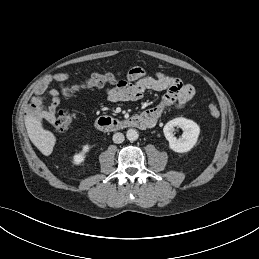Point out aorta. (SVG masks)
I'll return each instance as SVG.
<instances>
[{
  "mask_svg": "<svg viewBox=\"0 0 259 259\" xmlns=\"http://www.w3.org/2000/svg\"><path fill=\"white\" fill-rule=\"evenodd\" d=\"M126 137L129 141H136L139 137L137 130L129 129L126 133Z\"/></svg>",
  "mask_w": 259,
  "mask_h": 259,
  "instance_id": "obj_1",
  "label": "aorta"
}]
</instances>
